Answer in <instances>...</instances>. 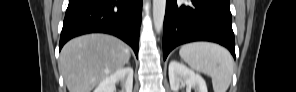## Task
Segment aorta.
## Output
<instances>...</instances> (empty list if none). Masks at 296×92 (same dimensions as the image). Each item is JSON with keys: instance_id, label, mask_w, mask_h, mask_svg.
<instances>
[{"instance_id": "1", "label": "aorta", "mask_w": 296, "mask_h": 92, "mask_svg": "<svg viewBox=\"0 0 296 92\" xmlns=\"http://www.w3.org/2000/svg\"><path fill=\"white\" fill-rule=\"evenodd\" d=\"M166 0H153V23L157 33L163 29Z\"/></svg>"}]
</instances>
